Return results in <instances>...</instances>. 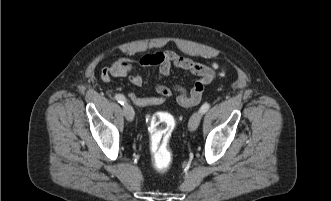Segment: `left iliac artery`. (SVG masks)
Segmentation results:
<instances>
[{"mask_svg":"<svg viewBox=\"0 0 331 201\" xmlns=\"http://www.w3.org/2000/svg\"><path fill=\"white\" fill-rule=\"evenodd\" d=\"M209 108H210V104L205 103L201 106L200 111L204 114L205 112H207L209 110Z\"/></svg>","mask_w":331,"mask_h":201,"instance_id":"44dca946","label":"left iliac artery"}]
</instances>
